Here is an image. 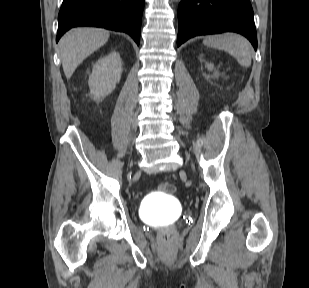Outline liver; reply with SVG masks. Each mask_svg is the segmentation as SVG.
Returning <instances> with one entry per match:
<instances>
[{
	"label": "liver",
	"instance_id": "1",
	"mask_svg": "<svg viewBox=\"0 0 309 288\" xmlns=\"http://www.w3.org/2000/svg\"><path fill=\"white\" fill-rule=\"evenodd\" d=\"M109 32L100 28H75L68 31L60 40L62 67L67 79L76 68L94 51L109 39Z\"/></svg>",
	"mask_w": 309,
	"mask_h": 288
}]
</instances>
